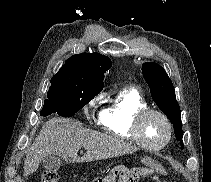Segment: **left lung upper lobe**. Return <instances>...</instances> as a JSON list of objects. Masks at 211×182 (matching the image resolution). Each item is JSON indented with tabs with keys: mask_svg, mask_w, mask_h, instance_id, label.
<instances>
[{
	"mask_svg": "<svg viewBox=\"0 0 211 182\" xmlns=\"http://www.w3.org/2000/svg\"><path fill=\"white\" fill-rule=\"evenodd\" d=\"M142 73L150 87L153 100L164 114L169 118L175 130V136L183 148V131L181 123V111L174 86L166 71L158 64L148 62L142 65Z\"/></svg>",
	"mask_w": 211,
	"mask_h": 182,
	"instance_id": "left-lung-upper-lobe-1",
	"label": "left lung upper lobe"
}]
</instances>
